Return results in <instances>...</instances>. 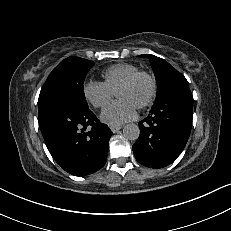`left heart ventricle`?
Instances as JSON below:
<instances>
[{"label": "left heart ventricle", "instance_id": "left-heart-ventricle-1", "mask_svg": "<svg viewBox=\"0 0 231 231\" xmlns=\"http://www.w3.org/2000/svg\"><path fill=\"white\" fill-rule=\"evenodd\" d=\"M149 91L148 80L141 78L130 87L118 89L115 94L118 99H125L137 108L147 98Z\"/></svg>", "mask_w": 231, "mask_h": 231}]
</instances>
